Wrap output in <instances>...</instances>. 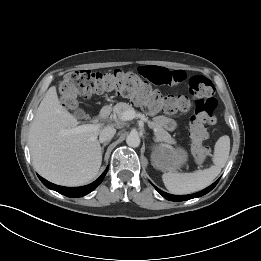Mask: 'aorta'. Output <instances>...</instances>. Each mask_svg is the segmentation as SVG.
I'll use <instances>...</instances> for the list:
<instances>
[{"label": "aorta", "mask_w": 261, "mask_h": 261, "mask_svg": "<svg viewBox=\"0 0 261 261\" xmlns=\"http://www.w3.org/2000/svg\"><path fill=\"white\" fill-rule=\"evenodd\" d=\"M140 142V137L137 133H130L126 138V143L130 147H138Z\"/></svg>", "instance_id": "1"}]
</instances>
